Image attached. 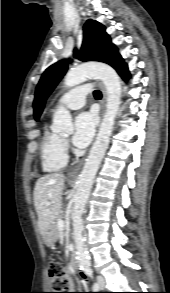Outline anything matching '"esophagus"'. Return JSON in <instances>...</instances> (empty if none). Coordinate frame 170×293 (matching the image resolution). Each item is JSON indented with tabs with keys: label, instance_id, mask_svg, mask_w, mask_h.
<instances>
[{
	"label": "esophagus",
	"instance_id": "obj_1",
	"mask_svg": "<svg viewBox=\"0 0 170 293\" xmlns=\"http://www.w3.org/2000/svg\"><path fill=\"white\" fill-rule=\"evenodd\" d=\"M95 84L100 88V90L102 92L101 116H103L104 109H105L106 102H107V93H106L105 86L101 82L96 81ZM84 161H85V159L83 158L75 166H73L71 168V170L69 171V175L74 176V177L77 176L79 174L80 170L82 169Z\"/></svg>",
	"mask_w": 170,
	"mask_h": 293
}]
</instances>
